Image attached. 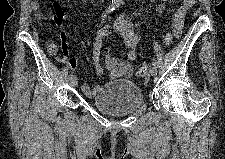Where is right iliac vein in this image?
Returning a JSON list of instances; mask_svg holds the SVG:
<instances>
[{"label":"right iliac vein","mask_w":225,"mask_h":159,"mask_svg":"<svg viewBox=\"0 0 225 159\" xmlns=\"http://www.w3.org/2000/svg\"><path fill=\"white\" fill-rule=\"evenodd\" d=\"M70 84L72 87H76L78 84L77 78L74 75L70 78Z\"/></svg>","instance_id":"1"}]
</instances>
